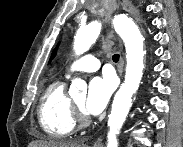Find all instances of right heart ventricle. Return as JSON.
<instances>
[{
	"label": "right heart ventricle",
	"mask_w": 183,
	"mask_h": 147,
	"mask_svg": "<svg viewBox=\"0 0 183 147\" xmlns=\"http://www.w3.org/2000/svg\"><path fill=\"white\" fill-rule=\"evenodd\" d=\"M38 118L50 137L65 138L74 133L76 122L72 100L62 81H55L45 89L38 107Z\"/></svg>",
	"instance_id": "1"
}]
</instances>
